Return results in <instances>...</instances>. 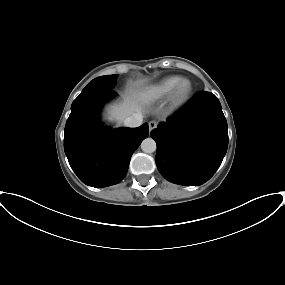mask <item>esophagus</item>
Wrapping results in <instances>:
<instances>
[{"mask_svg":"<svg viewBox=\"0 0 285 285\" xmlns=\"http://www.w3.org/2000/svg\"><path fill=\"white\" fill-rule=\"evenodd\" d=\"M157 121H150L149 122V130L152 131L153 129H155L157 127Z\"/></svg>","mask_w":285,"mask_h":285,"instance_id":"esophagus-1","label":"esophagus"}]
</instances>
